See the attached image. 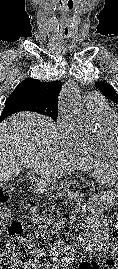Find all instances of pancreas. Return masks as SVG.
<instances>
[{"label": "pancreas", "instance_id": "1", "mask_svg": "<svg viewBox=\"0 0 118 269\" xmlns=\"http://www.w3.org/2000/svg\"><path fill=\"white\" fill-rule=\"evenodd\" d=\"M36 189L37 191H45V192H51L53 190V187L51 186V181L46 178H41L37 180L36 182ZM85 192H96L97 188L96 187H85L84 188Z\"/></svg>", "mask_w": 118, "mask_h": 269}]
</instances>
